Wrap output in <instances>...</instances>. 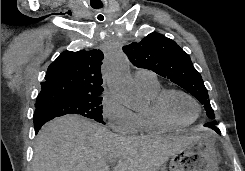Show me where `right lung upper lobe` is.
Returning <instances> with one entry per match:
<instances>
[{"label": "right lung upper lobe", "instance_id": "1", "mask_svg": "<svg viewBox=\"0 0 245 171\" xmlns=\"http://www.w3.org/2000/svg\"><path fill=\"white\" fill-rule=\"evenodd\" d=\"M101 50L64 51L47 70L36 104L49 97L94 96L103 92Z\"/></svg>", "mask_w": 245, "mask_h": 171}]
</instances>
